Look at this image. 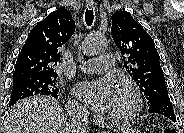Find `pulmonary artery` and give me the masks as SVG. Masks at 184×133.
<instances>
[{"mask_svg":"<svg viewBox=\"0 0 184 133\" xmlns=\"http://www.w3.org/2000/svg\"><path fill=\"white\" fill-rule=\"evenodd\" d=\"M114 58L111 54H102L96 59H89L79 63L81 71L87 73H102L113 66Z\"/></svg>","mask_w":184,"mask_h":133,"instance_id":"pulmonary-artery-1","label":"pulmonary artery"}]
</instances>
